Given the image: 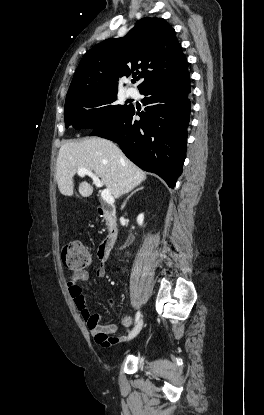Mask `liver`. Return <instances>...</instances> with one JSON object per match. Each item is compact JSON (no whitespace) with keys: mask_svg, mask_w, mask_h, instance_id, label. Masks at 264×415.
I'll return each mask as SVG.
<instances>
[{"mask_svg":"<svg viewBox=\"0 0 264 415\" xmlns=\"http://www.w3.org/2000/svg\"><path fill=\"white\" fill-rule=\"evenodd\" d=\"M79 168L94 171L115 198L130 192L146 179V173L124 156L111 141L100 137L64 143L59 150L56 179L61 194L72 196L73 177ZM93 187L86 181L79 184V193L89 197Z\"/></svg>","mask_w":264,"mask_h":415,"instance_id":"6515ba94","label":"liver"}]
</instances>
